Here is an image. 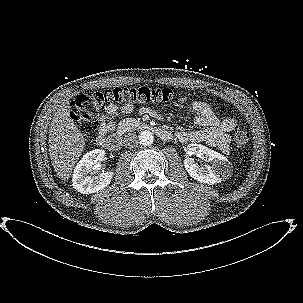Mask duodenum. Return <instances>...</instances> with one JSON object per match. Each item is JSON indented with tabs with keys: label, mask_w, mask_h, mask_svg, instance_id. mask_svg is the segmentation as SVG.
Wrapping results in <instances>:
<instances>
[{
	"label": "duodenum",
	"mask_w": 303,
	"mask_h": 303,
	"mask_svg": "<svg viewBox=\"0 0 303 303\" xmlns=\"http://www.w3.org/2000/svg\"><path fill=\"white\" fill-rule=\"evenodd\" d=\"M142 129H152L155 131L162 139L167 140L170 138V133L162 128H151L148 125H141ZM99 143H101L104 147H106L110 151H118L122 147V141L117 136H109V137H99Z\"/></svg>",
	"instance_id": "obj_1"
}]
</instances>
